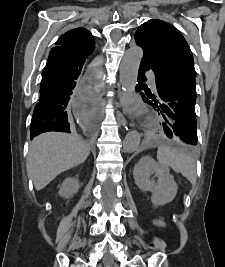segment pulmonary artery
Listing matches in <instances>:
<instances>
[{"label":"pulmonary artery","mask_w":225,"mask_h":267,"mask_svg":"<svg viewBox=\"0 0 225 267\" xmlns=\"http://www.w3.org/2000/svg\"><path fill=\"white\" fill-rule=\"evenodd\" d=\"M147 76L149 78V82H150L151 88L153 90H156L155 75H154V73L152 71H148L147 72Z\"/></svg>","instance_id":"pulmonary-artery-1"}]
</instances>
